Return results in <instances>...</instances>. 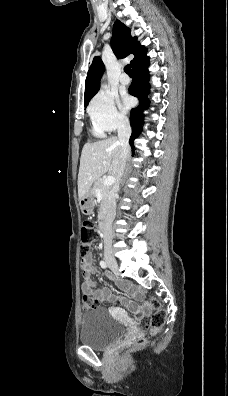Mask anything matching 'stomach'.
<instances>
[{
	"label": "stomach",
	"instance_id": "stomach-1",
	"mask_svg": "<svg viewBox=\"0 0 228 396\" xmlns=\"http://www.w3.org/2000/svg\"><path fill=\"white\" fill-rule=\"evenodd\" d=\"M79 206L84 215H90L93 212L95 206L93 191H89L79 200Z\"/></svg>",
	"mask_w": 228,
	"mask_h": 396
}]
</instances>
